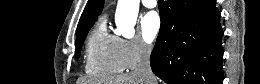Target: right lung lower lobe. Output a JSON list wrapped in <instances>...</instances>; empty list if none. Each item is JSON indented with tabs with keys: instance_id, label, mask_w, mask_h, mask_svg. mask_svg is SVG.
<instances>
[{
	"instance_id": "right-lung-lower-lobe-1",
	"label": "right lung lower lobe",
	"mask_w": 260,
	"mask_h": 84,
	"mask_svg": "<svg viewBox=\"0 0 260 84\" xmlns=\"http://www.w3.org/2000/svg\"><path fill=\"white\" fill-rule=\"evenodd\" d=\"M150 64L168 84H222L223 31L215 0H159Z\"/></svg>"
}]
</instances>
